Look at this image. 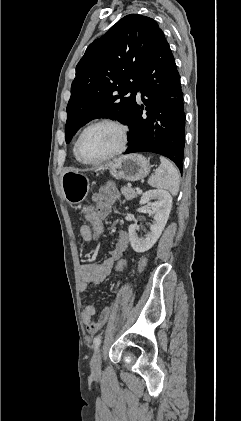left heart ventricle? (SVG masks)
I'll return each instance as SVG.
<instances>
[{"label":"left heart ventricle","instance_id":"1","mask_svg":"<svg viewBox=\"0 0 241 421\" xmlns=\"http://www.w3.org/2000/svg\"><path fill=\"white\" fill-rule=\"evenodd\" d=\"M120 143V133L111 125H98L88 130L81 142V153L87 160H97L114 151Z\"/></svg>","mask_w":241,"mask_h":421}]
</instances>
